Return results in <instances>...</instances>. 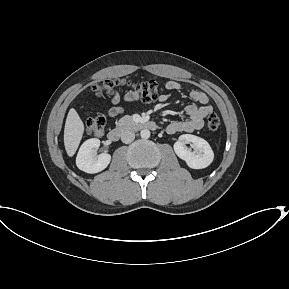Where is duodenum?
Instances as JSON below:
<instances>
[{"label":"duodenum","mask_w":289,"mask_h":289,"mask_svg":"<svg viewBox=\"0 0 289 289\" xmlns=\"http://www.w3.org/2000/svg\"><path fill=\"white\" fill-rule=\"evenodd\" d=\"M156 124L153 121L147 122H127L108 132L107 138L111 142H116L120 139L121 135L128 129L142 130V129H156Z\"/></svg>","instance_id":"duodenum-1"}]
</instances>
